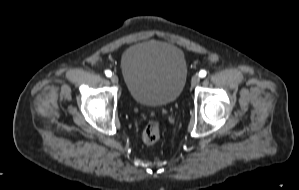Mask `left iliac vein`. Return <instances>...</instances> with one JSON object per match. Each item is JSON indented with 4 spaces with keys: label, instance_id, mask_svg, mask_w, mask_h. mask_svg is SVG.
<instances>
[{
    "label": "left iliac vein",
    "instance_id": "4c4485c4",
    "mask_svg": "<svg viewBox=\"0 0 299 190\" xmlns=\"http://www.w3.org/2000/svg\"><path fill=\"white\" fill-rule=\"evenodd\" d=\"M200 81V77L198 75H194L191 79V86L195 87Z\"/></svg>",
    "mask_w": 299,
    "mask_h": 190
}]
</instances>
